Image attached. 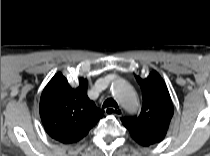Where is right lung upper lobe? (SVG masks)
Listing matches in <instances>:
<instances>
[{"instance_id": "right-lung-upper-lobe-1", "label": "right lung upper lobe", "mask_w": 210, "mask_h": 156, "mask_svg": "<svg viewBox=\"0 0 210 156\" xmlns=\"http://www.w3.org/2000/svg\"><path fill=\"white\" fill-rule=\"evenodd\" d=\"M88 81L80 79L73 88L57 73L45 87L40 99V117L53 139L71 144L81 140L103 116L87 96Z\"/></svg>"}]
</instances>
